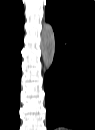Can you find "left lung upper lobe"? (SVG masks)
I'll return each instance as SVG.
<instances>
[{"instance_id": "obj_1", "label": "left lung upper lobe", "mask_w": 95, "mask_h": 130, "mask_svg": "<svg viewBox=\"0 0 95 130\" xmlns=\"http://www.w3.org/2000/svg\"><path fill=\"white\" fill-rule=\"evenodd\" d=\"M45 15L52 19H76L95 26L92 0H47Z\"/></svg>"}]
</instances>
